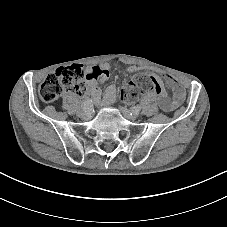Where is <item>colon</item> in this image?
<instances>
[{
  "label": "colon",
  "instance_id": "obj_1",
  "mask_svg": "<svg viewBox=\"0 0 227 227\" xmlns=\"http://www.w3.org/2000/svg\"><path fill=\"white\" fill-rule=\"evenodd\" d=\"M85 74L82 66L73 64L59 67L41 83L39 96L45 103L57 100L64 90L81 94L85 88ZM156 92L160 97L167 96L163 86L150 75L141 74L121 89V97L126 101H134L144 92Z\"/></svg>",
  "mask_w": 227,
  "mask_h": 227
}]
</instances>
